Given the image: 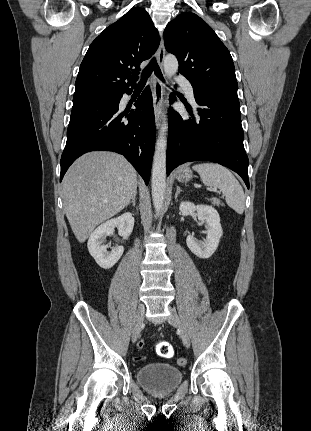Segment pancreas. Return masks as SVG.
I'll return each instance as SVG.
<instances>
[{"instance_id": "1", "label": "pancreas", "mask_w": 311, "mask_h": 431, "mask_svg": "<svg viewBox=\"0 0 311 431\" xmlns=\"http://www.w3.org/2000/svg\"><path fill=\"white\" fill-rule=\"evenodd\" d=\"M209 202L213 204V206H220L221 200H218V198H210Z\"/></svg>"}]
</instances>
